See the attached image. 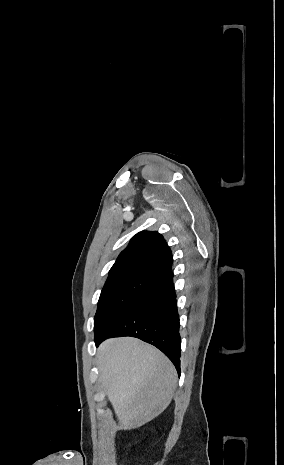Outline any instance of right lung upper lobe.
Listing matches in <instances>:
<instances>
[{"instance_id": "obj_1", "label": "right lung upper lobe", "mask_w": 284, "mask_h": 465, "mask_svg": "<svg viewBox=\"0 0 284 465\" xmlns=\"http://www.w3.org/2000/svg\"><path fill=\"white\" fill-rule=\"evenodd\" d=\"M172 253L157 232L137 233L118 256L108 279L138 277L156 281L171 271Z\"/></svg>"}]
</instances>
